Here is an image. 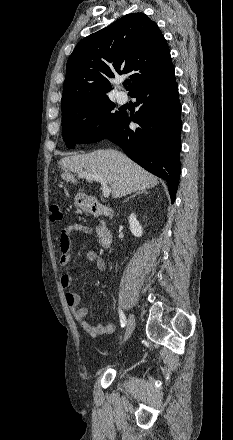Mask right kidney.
<instances>
[{
	"label": "right kidney",
	"instance_id": "1",
	"mask_svg": "<svg viewBox=\"0 0 233 440\" xmlns=\"http://www.w3.org/2000/svg\"><path fill=\"white\" fill-rule=\"evenodd\" d=\"M129 228L135 237H141L143 235L142 226L140 225L139 221H137L134 213L129 216Z\"/></svg>",
	"mask_w": 233,
	"mask_h": 440
}]
</instances>
